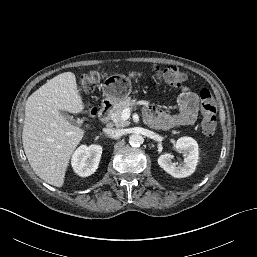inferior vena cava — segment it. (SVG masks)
I'll list each match as a JSON object with an SVG mask.
<instances>
[{"label": "inferior vena cava", "mask_w": 257, "mask_h": 257, "mask_svg": "<svg viewBox=\"0 0 257 257\" xmlns=\"http://www.w3.org/2000/svg\"><path fill=\"white\" fill-rule=\"evenodd\" d=\"M104 133L113 139H117L121 136V131L119 129H114V128H105L103 129Z\"/></svg>", "instance_id": "1"}]
</instances>
